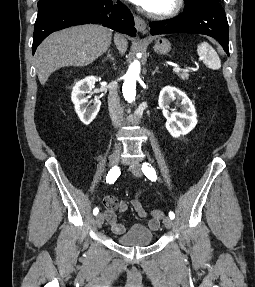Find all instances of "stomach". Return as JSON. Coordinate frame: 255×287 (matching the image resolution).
Returning a JSON list of instances; mask_svg holds the SVG:
<instances>
[{
	"label": "stomach",
	"instance_id": "1",
	"mask_svg": "<svg viewBox=\"0 0 255 287\" xmlns=\"http://www.w3.org/2000/svg\"><path fill=\"white\" fill-rule=\"evenodd\" d=\"M154 50L158 54H168L171 50V44L166 38H158L155 42Z\"/></svg>",
	"mask_w": 255,
	"mask_h": 287
}]
</instances>
